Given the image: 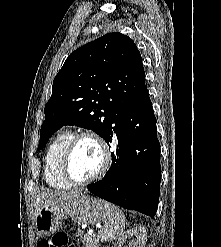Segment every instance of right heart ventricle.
<instances>
[{
  "instance_id": "1",
  "label": "right heart ventricle",
  "mask_w": 221,
  "mask_h": 247,
  "mask_svg": "<svg viewBox=\"0 0 221 247\" xmlns=\"http://www.w3.org/2000/svg\"><path fill=\"white\" fill-rule=\"evenodd\" d=\"M73 134L69 131L59 133L49 144L44 159L46 182L56 189H67L71 184L62 174V159Z\"/></svg>"
}]
</instances>
